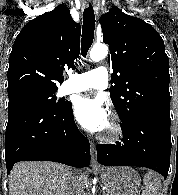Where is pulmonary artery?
Wrapping results in <instances>:
<instances>
[{
  "label": "pulmonary artery",
  "instance_id": "1",
  "mask_svg": "<svg viewBox=\"0 0 178 195\" xmlns=\"http://www.w3.org/2000/svg\"><path fill=\"white\" fill-rule=\"evenodd\" d=\"M108 86V72L105 67H98L81 74H70L60 88V95L81 92L87 89H105Z\"/></svg>",
  "mask_w": 178,
  "mask_h": 195
}]
</instances>
